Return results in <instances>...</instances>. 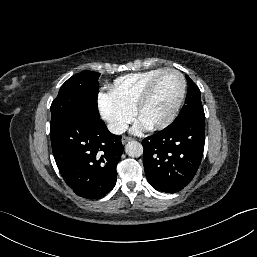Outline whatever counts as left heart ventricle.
I'll return each mask as SVG.
<instances>
[{"label": "left heart ventricle", "instance_id": "obj_1", "mask_svg": "<svg viewBox=\"0 0 257 257\" xmlns=\"http://www.w3.org/2000/svg\"><path fill=\"white\" fill-rule=\"evenodd\" d=\"M181 92V79L175 73H167L158 81L155 90L144 106L139 120L146 126L163 120L176 104Z\"/></svg>", "mask_w": 257, "mask_h": 257}]
</instances>
